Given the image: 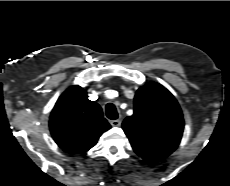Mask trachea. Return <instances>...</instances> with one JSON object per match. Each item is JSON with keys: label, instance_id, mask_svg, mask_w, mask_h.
Listing matches in <instances>:
<instances>
[{"label": "trachea", "instance_id": "trachea-1", "mask_svg": "<svg viewBox=\"0 0 230 186\" xmlns=\"http://www.w3.org/2000/svg\"><path fill=\"white\" fill-rule=\"evenodd\" d=\"M106 115L111 120H115L118 118L117 109L113 104L108 103L106 105Z\"/></svg>", "mask_w": 230, "mask_h": 186}]
</instances>
